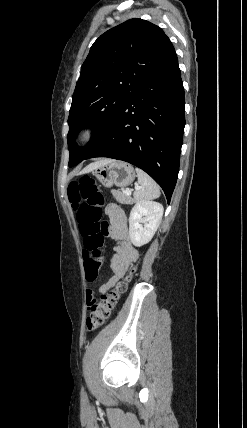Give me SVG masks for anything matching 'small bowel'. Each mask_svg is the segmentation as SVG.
<instances>
[{"instance_id":"1","label":"small bowel","mask_w":247,"mask_h":428,"mask_svg":"<svg viewBox=\"0 0 247 428\" xmlns=\"http://www.w3.org/2000/svg\"><path fill=\"white\" fill-rule=\"evenodd\" d=\"M106 213L110 219L107 234L116 241V245L114 246V254L109 261L112 275L100 286V293H105L112 288L139 257L137 248L131 242L124 212L118 206L110 204L106 208ZM86 299H94L91 290H87Z\"/></svg>"}]
</instances>
